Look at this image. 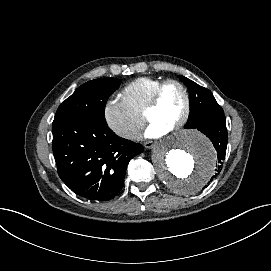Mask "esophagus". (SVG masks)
<instances>
[{
  "mask_svg": "<svg viewBox=\"0 0 271 271\" xmlns=\"http://www.w3.org/2000/svg\"><path fill=\"white\" fill-rule=\"evenodd\" d=\"M155 145V141H147L144 143V147L147 149H152Z\"/></svg>",
  "mask_w": 271,
  "mask_h": 271,
  "instance_id": "34e87169",
  "label": "esophagus"
}]
</instances>
